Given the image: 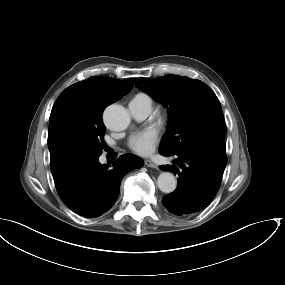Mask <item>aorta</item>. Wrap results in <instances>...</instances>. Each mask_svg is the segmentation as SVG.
Returning a JSON list of instances; mask_svg holds the SVG:
<instances>
[{"label":"aorta","instance_id":"1","mask_svg":"<svg viewBox=\"0 0 285 285\" xmlns=\"http://www.w3.org/2000/svg\"><path fill=\"white\" fill-rule=\"evenodd\" d=\"M103 119L107 127L114 131H122L130 124V115L121 105L113 104L106 108ZM157 185L163 193H172L177 186L174 175L170 172H162L157 179Z\"/></svg>","mask_w":285,"mask_h":285}]
</instances>
